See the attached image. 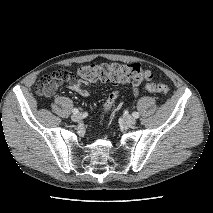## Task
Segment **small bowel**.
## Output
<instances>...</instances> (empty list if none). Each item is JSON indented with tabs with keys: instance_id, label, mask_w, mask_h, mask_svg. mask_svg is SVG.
<instances>
[{
	"instance_id": "c3829d8e",
	"label": "small bowel",
	"mask_w": 213,
	"mask_h": 213,
	"mask_svg": "<svg viewBox=\"0 0 213 213\" xmlns=\"http://www.w3.org/2000/svg\"><path fill=\"white\" fill-rule=\"evenodd\" d=\"M58 84L59 83L50 84L43 94L45 96H48V97L52 96L55 93ZM69 89L74 91V92L79 93L83 97H88L90 95L89 85L86 81H82V80L75 81V80H73L69 84ZM133 93H134V95H137L138 90L134 89Z\"/></svg>"
}]
</instances>
